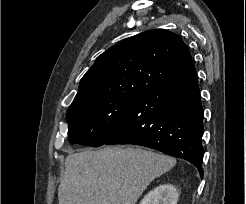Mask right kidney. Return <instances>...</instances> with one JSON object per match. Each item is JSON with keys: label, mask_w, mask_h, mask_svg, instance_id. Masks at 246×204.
<instances>
[{"label": "right kidney", "mask_w": 246, "mask_h": 204, "mask_svg": "<svg viewBox=\"0 0 246 204\" xmlns=\"http://www.w3.org/2000/svg\"><path fill=\"white\" fill-rule=\"evenodd\" d=\"M178 191L171 184H162L150 191L140 204H177Z\"/></svg>", "instance_id": "right-kidney-1"}]
</instances>
